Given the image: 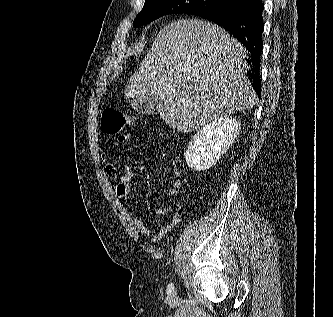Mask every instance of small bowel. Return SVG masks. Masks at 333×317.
Masks as SVG:
<instances>
[{"instance_id":"c3829d8e","label":"small bowel","mask_w":333,"mask_h":317,"mask_svg":"<svg viewBox=\"0 0 333 317\" xmlns=\"http://www.w3.org/2000/svg\"><path fill=\"white\" fill-rule=\"evenodd\" d=\"M132 138L130 133L122 134L118 137L120 142L129 141ZM102 166L104 171L108 175H116L117 166L115 163L109 158L106 152H102ZM175 181L173 185L168 189V194L172 197V201L169 205L157 211L159 215L162 214H171V219L167 225L158 229L151 230L141 219H139L132 210H128V216L136 229V231L145 237H147L151 242H158L162 238H164L178 223L179 220V212H180V202L177 199V195L180 190V175L176 168H174ZM134 176L133 168L130 165H125L123 167L122 173L118 179L116 185V195L119 199L123 201H127L131 196V187L130 181Z\"/></svg>"}]
</instances>
